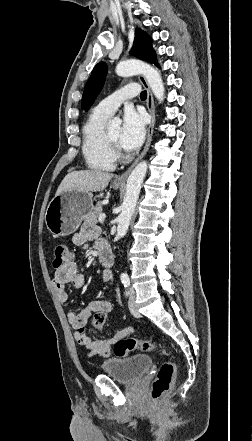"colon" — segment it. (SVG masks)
Returning a JSON list of instances; mask_svg holds the SVG:
<instances>
[{
	"mask_svg": "<svg viewBox=\"0 0 252 441\" xmlns=\"http://www.w3.org/2000/svg\"><path fill=\"white\" fill-rule=\"evenodd\" d=\"M72 261V253L66 245H57L54 251L53 267L58 269ZM112 311V305H106L102 310L94 313L91 328L94 330L103 329ZM81 334L85 333L83 328ZM156 345L151 340H138L133 337H125L117 341L114 345V353L118 357H125L135 350L151 352ZM161 354L168 356L165 348H160ZM176 372V364L172 360L164 362L159 368L152 385V399L159 402L164 399L171 391Z\"/></svg>",
	"mask_w": 252,
	"mask_h": 441,
	"instance_id": "5ec220e1",
	"label": "colon"
}]
</instances>
